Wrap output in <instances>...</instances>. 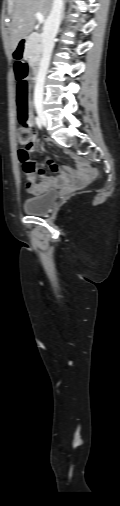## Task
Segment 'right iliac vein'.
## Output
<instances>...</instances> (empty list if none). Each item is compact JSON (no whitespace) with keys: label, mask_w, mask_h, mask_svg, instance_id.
<instances>
[{"label":"right iliac vein","mask_w":120,"mask_h":506,"mask_svg":"<svg viewBox=\"0 0 120 506\" xmlns=\"http://www.w3.org/2000/svg\"><path fill=\"white\" fill-rule=\"evenodd\" d=\"M36 110H37V113L39 115V118L41 119L42 124L46 125L47 124V118H46V115H45V112H44L43 108L40 105H37L36 106Z\"/></svg>","instance_id":"63e3f726"}]
</instances>
